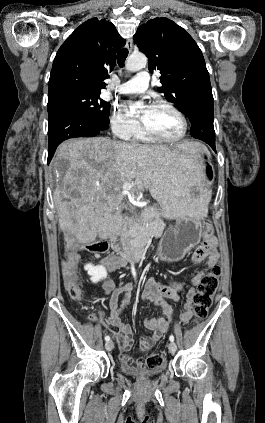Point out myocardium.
<instances>
[{
    "instance_id": "1",
    "label": "myocardium",
    "mask_w": 265,
    "mask_h": 423,
    "mask_svg": "<svg viewBox=\"0 0 265 423\" xmlns=\"http://www.w3.org/2000/svg\"><path fill=\"white\" fill-rule=\"evenodd\" d=\"M150 107L151 108L165 107V108H168L171 111H173L180 118V120L182 122V132L178 137L167 138V137L161 136V135L153 132L144 123L141 122V131L146 137H148L151 140L157 141V142L169 143V144L178 143L186 137V135L188 133V128H189L188 120H187L185 114L178 107H176L174 104L167 102V101H164V100H159V101L153 102L150 105Z\"/></svg>"
}]
</instances>
